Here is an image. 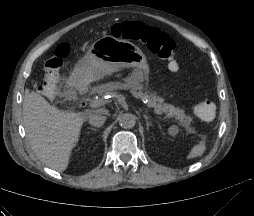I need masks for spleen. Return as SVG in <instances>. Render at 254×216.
Wrapping results in <instances>:
<instances>
[{
  "mask_svg": "<svg viewBox=\"0 0 254 216\" xmlns=\"http://www.w3.org/2000/svg\"><path fill=\"white\" fill-rule=\"evenodd\" d=\"M206 150V144L204 141H200L198 144L194 145L190 150L189 154L187 155V159H195L201 157Z\"/></svg>",
  "mask_w": 254,
  "mask_h": 216,
  "instance_id": "obj_1",
  "label": "spleen"
}]
</instances>
